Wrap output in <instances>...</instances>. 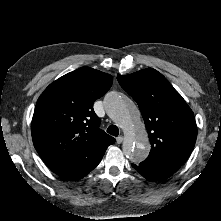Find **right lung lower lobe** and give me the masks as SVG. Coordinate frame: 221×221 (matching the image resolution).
<instances>
[{
	"instance_id": "1",
	"label": "right lung lower lobe",
	"mask_w": 221,
	"mask_h": 221,
	"mask_svg": "<svg viewBox=\"0 0 221 221\" xmlns=\"http://www.w3.org/2000/svg\"><path fill=\"white\" fill-rule=\"evenodd\" d=\"M107 147L108 145L104 143L89 146L46 164L54 173L66 180H79L100 163Z\"/></svg>"
}]
</instances>
